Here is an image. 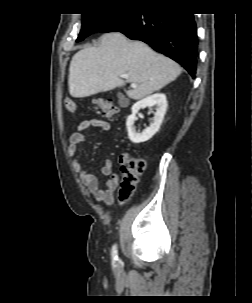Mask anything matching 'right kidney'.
<instances>
[{
  "label": "right kidney",
  "mask_w": 252,
  "mask_h": 303,
  "mask_svg": "<svg viewBox=\"0 0 252 303\" xmlns=\"http://www.w3.org/2000/svg\"><path fill=\"white\" fill-rule=\"evenodd\" d=\"M156 106V112L152 119V123L149 127L143 130L141 133H137L134 128V122L136 121V114L140 109L145 107ZM167 109L166 96L163 93H156L149 97H146L132 106V114L127 118L126 127L128 131L129 139L133 143H142L151 139L160 129L164 115Z\"/></svg>",
  "instance_id": "ca27d5eb"
}]
</instances>
